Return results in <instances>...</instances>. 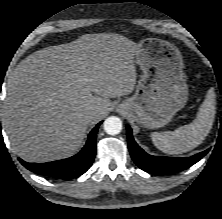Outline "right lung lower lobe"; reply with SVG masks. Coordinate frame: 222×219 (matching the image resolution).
<instances>
[{"mask_svg":"<svg viewBox=\"0 0 222 219\" xmlns=\"http://www.w3.org/2000/svg\"><path fill=\"white\" fill-rule=\"evenodd\" d=\"M101 123H98L90 132L84 148L70 158L47 163H27L18 159L28 170L36 174L56 179L76 178L84 174L93 163L96 155V134Z\"/></svg>","mask_w":222,"mask_h":219,"instance_id":"right-lung-lower-lobe-1","label":"right lung lower lobe"}]
</instances>
